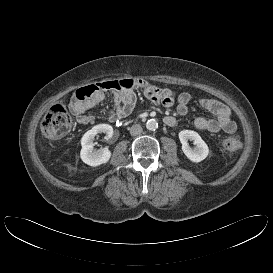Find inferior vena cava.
Listing matches in <instances>:
<instances>
[{
  "mask_svg": "<svg viewBox=\"0 0 273 273\" xmlns=\"http://www.w3.org/2000/svg\"><path fill=\"white\" fill-rule=\"evenodd\" d=\"M142 131H143V129H142L141 125H139V124H134L130 128V134L132 136L140 135L142 133Z\"/></svg>",
  "mask_w": 273,
  "mask_h": 273,
  "instance_id": "obj_1",
  "label": "inferior vena cava"
}]
</instances>
